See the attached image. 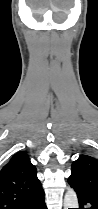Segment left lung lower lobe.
<instances>
[{
    "instance_id": "obj_1",
    "label": "left lung lower lobe",
    "mask_w": 98,
    "mask_h": 209,
    "mask_svg": "<svg viewBox=\"0 0 98 209\" xmlns=\"http://www.w3.org/2000/svg\"><path fill=\"white\" fill-rule=\"evenodd\" d=\"M77 197L79 209H98V200L80 193H77Z\"/></svg>"
}]
</instances>
